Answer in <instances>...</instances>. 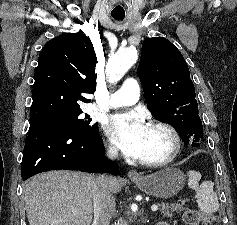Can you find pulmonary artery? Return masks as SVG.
Listing matches in <instances>:
<instances>
[{"label": "pulmonary artery", "instance_id": "1", "mask_svg": "<svg viewBox=\"0 0 237 225\" xmlns=\"http://www.w3.org/2000/svg\"><path fill=\"white\" fill-rule=\"evenodd\" d=\"M140 96V87L138 82L129 78L125 80L121 89L112 94L107 101L109 108H118L135 104Z\"/></svg>", "mask_w": 237, "mask_h": 225}]
</instances>
